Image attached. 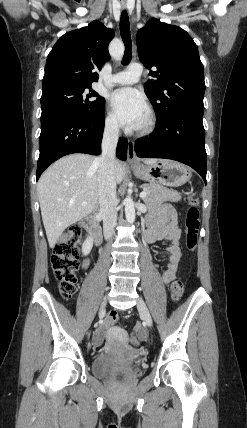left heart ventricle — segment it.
<instances>
[{
	"mask_svg": "<svg viewBox=\"0 0 247 428\" xmlns=\"http://www.w3.org/2000/svg\"><path fill=\"white\" fill-rule=\"evenodd\" d=\"M146 121L143 123V125L141 127H143L145 125Z\"/></svg>",
	"mask_w": 247,
	"mask_h": 428,
	"instance_id": "b2bd125f",
	"label": "left heart ventricle"
}]
</instances>
